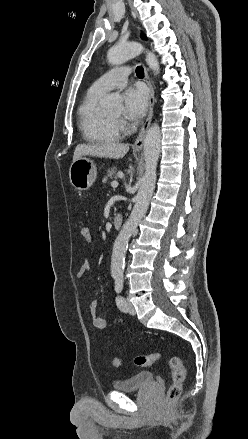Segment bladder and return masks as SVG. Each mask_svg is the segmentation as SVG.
Here are the masks:
<instances>
[{"mask_svg": "<svg viewBox=\"0 0 248 439\" xmlns=\"http://www.w3.org/2000/svg\"><path fill=\"white\" fill-rule=\"evenodd\" d=\"M154 383V375L150 371H140L133 376L113 382V389L119 392H134L142 390Z\"/></svg>", "mask_w": 248, "mask_h": 439, "instance_id": "31cf9c89", "label": "bladder"}]
</instances>
